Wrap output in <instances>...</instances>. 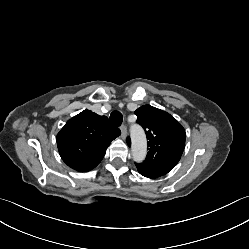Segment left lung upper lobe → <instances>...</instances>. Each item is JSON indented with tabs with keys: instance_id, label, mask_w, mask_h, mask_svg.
Segmentation results:
<instances>
[{
	"instance_id": "1",
	"label": "left lung upper lobe",
	"mask_w": 249,
	"mask_h": 249,
	"mask_svg": "<svg viewBox=\"0 0 249 249\" xmlns=\"http://www.w3.org/2000/svg\"><path fill=\"white\" fill-rule=\"evenodd\" d=\"M135 115L145 130L149 146L146 160L135 165L147 176H163L180 160L185 147V130L170 114L150 105L141 106Z\"/></svg>"
}]
</instances>
